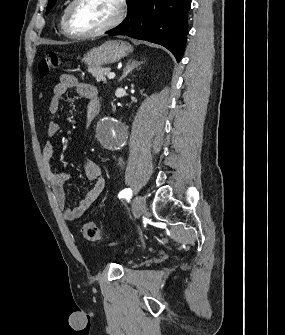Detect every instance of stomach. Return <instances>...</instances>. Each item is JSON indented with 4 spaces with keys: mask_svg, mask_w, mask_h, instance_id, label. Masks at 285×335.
<instances>
[{
    "mask_svg": "<svg viewBox=\"0 0 285 335\" xmlns=\"http://www.w3.org/2000/svg\"><path fill=\"white\" fill-rule=\"evenodd\" d=\"M130 52H133V48L127 42H123V40H108L102 46L88 50L84 54L82 62L86 66H92V68H102L106 64L119 62L121 58H125Z\"/></svg>",
    "mask_w": 285,
    "mask_h": 335,
    "instance_id": "stomach-1",
    "label": "stomach"
}]
</instances>
